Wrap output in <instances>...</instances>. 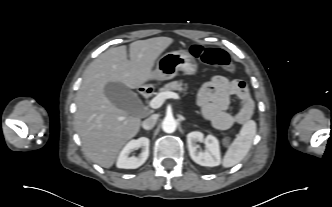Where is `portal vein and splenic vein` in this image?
<instances>
[{"mask_svg": "<svg viewBox=\"0 0 332 207\" xmlns=\"http://www.w3.org/2000/svg\"><path fill=\"white\" fill-rule=\"evenodd\" d=\"M168 98L180 99L179 95L175 92H164V93H160L156 97H154L150 101L149 105L151 108L157 109V108L161 107L162 104L164 103L165 99H168Z\"/></svg>", "mask_w": 332, "mask_h": 207, "instance_id": "portal-vein-and-splenic-vein-1", "label": "portal vein and splenic vein"}]
</instances>
